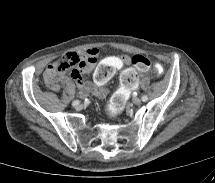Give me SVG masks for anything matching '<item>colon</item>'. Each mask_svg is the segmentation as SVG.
Returning a JSON list of instances; mask_svg holds the SVG:
<instances>
[{
  "label": "colon",
  "mask_w": 215,
  "mask_h": 183,
  "mask_svg": "<svg viewBox=\"0 0 215 183\" xmlns=\"http://www.w3.org/2000/svg\"><path fill=\"white\" fill-rule=\"evenodd\" d=\"M132 64L134 68L138 71L144 72L150 68V61L144 56L135 55L132 57ZM78 65L77 61L69 60H60L58 63L59 71H67L71 68H74ZM156 71L158 73L163 72V67L161 65H156ZM135 69L129 68L123 71L122 73V83L124 90L118 93H115L109 103L108 111L112 115L120 113L126 103V90L132 89L138 85V75Z\"/></svg>",
  "instance_id": "1"
}]
</instances>
